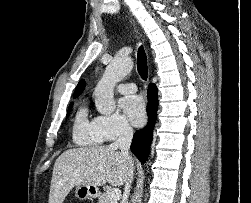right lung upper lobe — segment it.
Here are the masks:
<instances>
[{"mask_svg": "<svg viewBox=\"0 0 251 203\" xmlns=\"http://www.w3.org/2000/svg\"><path fill=\"white\" fill-rule=\"evenodd\" d=\"M84 88H85V81L81 80L75 89L73 98H77L83 92Z\"/></svg>", "mask_w": 251, "mask_h": 203, "instance_id": "obj_1", "label": "right lung upper lobe"}]
</instances>
